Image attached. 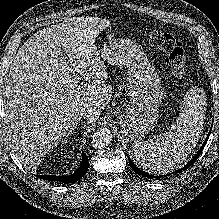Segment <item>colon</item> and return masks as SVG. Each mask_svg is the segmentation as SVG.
Segmentation results:
<instances>
[{
    "instance_id": "colon-1",
    "label": "colon",
    "mask_w": 219,
    "mask_h": 219,
    "mask_svg": "<svg viewBox=\"0 0 219 219\" xmlns=\"http://www.w3.org/2000/svg\"><path fill=\"white\" fill-rule=\"evenodd\" d=\"M143 38L150 44L167 52L174 74L177 77L183 75L188 56L184 45L180 41L170 34L151 30L144 32Z\"/></svg>"
}]
</instances>
